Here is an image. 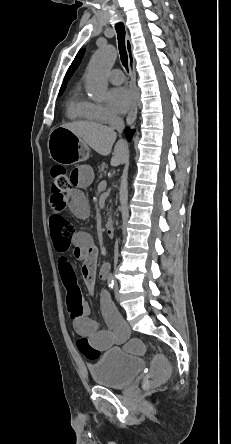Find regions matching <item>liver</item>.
Segmentation results:
<instances>
[{
    "mask_svg": "<svg viewBox=\"0 0 231 444\" xmlns=\"http://www.w3.org/2000/svg\"><path fill=\"white\" fill-rule=\"evenodd\" d=\"M61 127L70 130L76 136L80 137L86 145L103 156L111 153L112 146L116 140V133L107 126L94 122H72L63 124ZM128 145L124 140H119L115 147L111 165L118 166L123 164L128 158Z\"/></svg>",
    "mask_w": 231,
    "mask_h": 444,
    "instance_id": "obj_1",
    "label": "liver"
}]
</instances>
